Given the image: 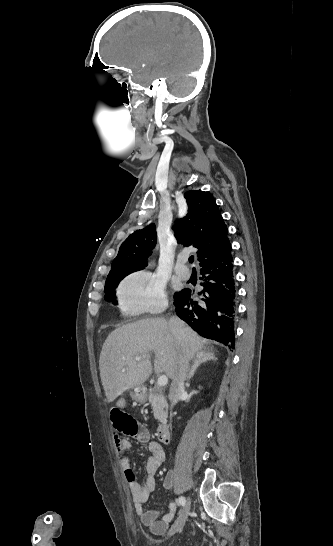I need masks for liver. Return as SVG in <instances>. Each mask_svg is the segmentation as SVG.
Here are the masks:
<instances>
[{
	"label": "liver",
	"mask_w": 333,
	"mask_h": 546,
	"mask_svg": "<svg viewBox=\"0 0 333 546\" xmlns=\"http://www.w3.org/2000/svg\"><path fill=\"white\" fill-rule=\"evenodd\" d=\"M184 331L186 339L181 343L172 335L167 320L158 317L141 319L112 331L103 344L99 359L100 377L108 402L149 378L152 354L155 372H164L173 379L182 350L187 352L189 359L205 350L212 351L191 328L184 326ZM138 356L142 358L140 361L135 360Z\"/></svg>",
	"instance_id": "6515ba94"
}]
</instances>
